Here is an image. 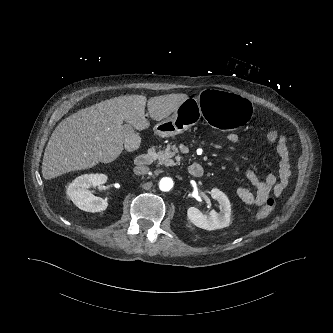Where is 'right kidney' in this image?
<instances>
[{
	"label": "right kidney",
	"instance_id": "1",
	"mask_svg": "<svg viewBox=\"0 0 333 333\" xmlns=\"http://www.w3.org/2000/svg\"><path fill=\"white\" fill-rule=\"evenodd\" d=\"M107 181L104 174H84L73 180L67 188V195L81 210L87 212L104 211L108 203L100 197L94 196L87 188L100 186Z\"/></svg>",
	"mask_w": 333,
	"mask_h": 333
}]
</instances>
